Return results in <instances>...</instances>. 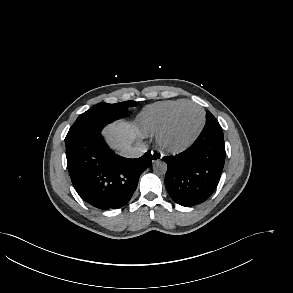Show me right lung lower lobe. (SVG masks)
<instances>
[{"mask_svg": "<svg viewBox=\"0 0 293 293\" xmlns=\"http://www.w3.org/2000/svg\"><path fill=\"white\" fill-rule=\"evenodd\" d=\"M86 131L66 142L67 167L79 196L102 209L124 206L137 188L139 176L151 166L152 156L137 159L115 154L104 141L101 130Z\"/></svg>", "mask_w": 293, "mask_h": 293, "instance_id": "obj_1", "label": "right lung lower lobe"}]
</instances>
